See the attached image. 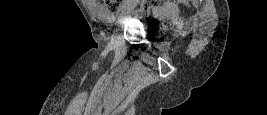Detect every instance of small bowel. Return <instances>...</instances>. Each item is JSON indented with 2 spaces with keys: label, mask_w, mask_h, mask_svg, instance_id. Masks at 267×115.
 I'll list each match as a JSON object with an SVG mask.
<instances>
[{
  "label": "small bowel",
  "mask_w": 267,
  "mask_h": 115,
  "mask_svg": "<svg viewBox=\"0 0 267 115\" xmlns=\"http://www.w3.org/2000/svg\"><path fill=\"white\" fill-rule=\"evenodd\" d=\"M89 8L95 16L101 19H111L112 13L107 10L99 1L96 0H86Z\"/></svg>",
  "instance_id": "small-bowel-1"
}]
</instances>
